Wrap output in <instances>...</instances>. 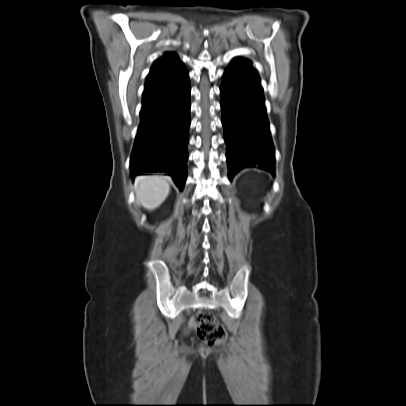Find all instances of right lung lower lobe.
Wrapping results in <instances>:
<instances>
[{
  "label": "right lung lower lobe",
  "mask_w": 406,
  "mask_h": 406,
  "mask_svg": "<svg viewBox=\"0 0 406 406\" xmlns=\"http://www.w3.org/2000/svg\"><path fill=\"white\" fill-rule=\"evenodd\" d=\"M189 73L182 65L143 92L141 122L130 160L132 177L166 172L182 190L186 181L190 126Z\"/></svg>",
  "instance_id": "right-lung-lower-lobe-1"
}]
</instances>
